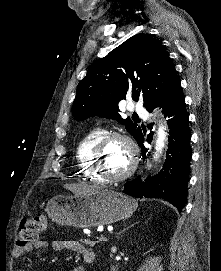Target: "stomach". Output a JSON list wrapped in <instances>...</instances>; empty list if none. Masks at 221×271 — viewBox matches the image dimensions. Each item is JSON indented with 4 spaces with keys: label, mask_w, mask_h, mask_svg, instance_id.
I'll return each mask as SVG.
<instances>
[{
    "label": "stomach",
    "mask_w": 221,
    "mask_h": 271,
    "mask_svg": "<svg viewBox=\"0 0 221 271\" xmlns=\"http://www.w3.org/2000/svg\"><path fill=\"white\" fill-rule=\"evenodd\" d=\"M136 207V199L129 195L114 189H97L74 197H50L47 213L59 225L96 227L125 219Z\"/></svg>",
    "instance_id": "obj_1"
}]
</instances>
